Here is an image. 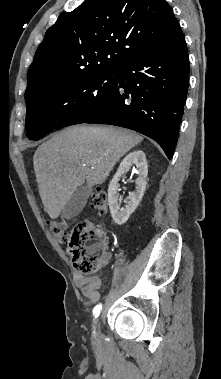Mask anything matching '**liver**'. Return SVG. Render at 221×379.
Instances as JSON below:
<instances>
[{
    "label": "liver",
    "mask_w": 221,
    "mask_h": 379,
    "mask_svg": "<svg viewBox=\"0 0 221 379\" xmlns=\"http://www.w3.org/2000/svg\"><path fill=\"white\" fill-rule=\"evenodd\" d=\"M143 137L116 127L74 126L41 144L33 157L39 194L51 219L85 181L102 184L115 164Z\"/></svg>",
    "instance_id": "6515ba94"
}]
</instances>
